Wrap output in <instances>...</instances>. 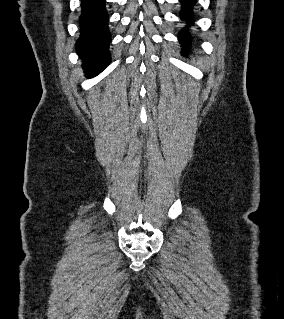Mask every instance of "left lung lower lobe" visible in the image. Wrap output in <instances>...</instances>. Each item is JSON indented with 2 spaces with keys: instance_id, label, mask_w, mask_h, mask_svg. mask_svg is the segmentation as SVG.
I'll use <instances>...</instances> for the list:
<instances>
[{
  "instance_id": "left-lung-lower-lobe-1",
  "label": "left lung lower lobe",
  "mask_w": 284,
  "mask_h": 319,
  "mask_svg": "<svg viewBox=\"0 0 284 319\" xmlns=\"http://www.w3.org/2000/svg\"><path fill=\"white\" fill-rule=\"evenodd\" d=\"M183 5L181 18L188 22V26L191 24L192 21V7L195 4V0H180ZM180 42L184 46L183 55L186 56V51L190 46V34L187 31V28L183 29L179 35Z\"/></svg>"
}]
</instances>
